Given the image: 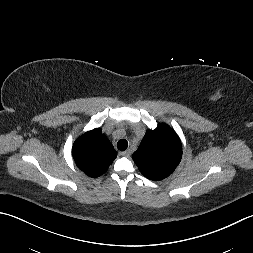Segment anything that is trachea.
<instances>
[{"label":"trachea","instance_id":"obj_1","mask_svg":"<svg viewBox=\"0 0 253 253\" xmlns=\"http://www.w3.org/2000/svg\"><path fill=\"white\" fill-rule=\"evenodd\" d=\"M128 147V142L127 140L125 139H121L118 141L117 143V148L120 150V151H125Z\"/></svg>","mask_w":253,"mask_h":253}]
</instances>
